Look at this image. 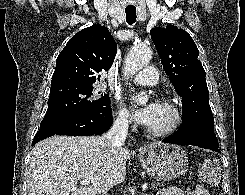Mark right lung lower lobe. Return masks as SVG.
Wrapping results in <instances>:
<instances>
[{
  "mask_svg": "<svg viewBox=\"0 0 245 195\" xmlns=\"http://www.w3.org/2000/svg\"><path fill=\"white\" fill-rule=\"evenodd\" d=\"M113 123L110 106H99L91 111L79 113L40 127L32 145L53 135L90 136L106 132Z\"/></svg>",
  "mask_w": 245,
  "mask_h": 195,
  "instance_id": "obj_1",
  "label": "right lung lower lobe"
}]
</instances>
